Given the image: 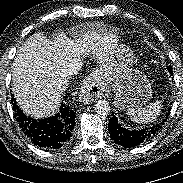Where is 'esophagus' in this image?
I'll return each mask as SVG.
<instances>
[{
    "instance_id": "esophagus-1",
    "label": "esophagus",
    "mask_w": 183,
    "mask_h": 183,
    "mask_svg": "<svg viewBox=\"0 0 183 183\" xmlns=\"http://www.w3.org/2000/svg\"><path fill=\"white\" fill-rule=\"evenodd\" d=\"M109 94V85L99 72H94L84 81L79 96L83 103L90 104L98 98L108 97Z\"/></svg>"
}]
</instances>
